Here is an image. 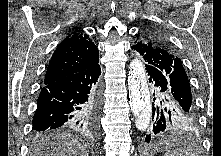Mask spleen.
I'll list each match as a JSON object with an SVG mask.
<instances>
[{"mask_svg": "<svg viewBox=\"0 0 221 156\" xmlns=\"http://www.w3.org/2000/svg\"><path fill=\"white\" fill-rule=\"evenodd\" d=\"M165 156H197V153L190 148H178L166 152Z\"/></svg>", "mask_w": 221, "mask_h": 156, "instance_id": "obj_1", "label": "spleen"}]
</instances>
